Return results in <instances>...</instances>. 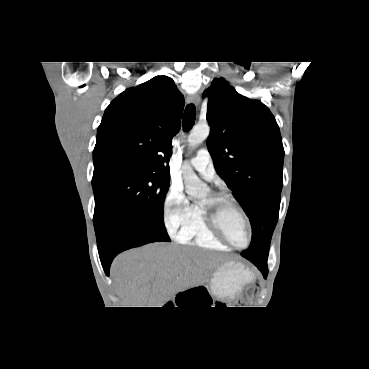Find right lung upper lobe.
I'll use <instances>...</instances> for the list:
<instances>
[{
  "label": "right lung upper lobe",
  "mask_w": 369,
  "mask_h": 369,
  "mask_svg": "<svg viewBox=\"0 0 369 369\" xmlns=\"http://www.w3.org/2000/svg\"><path fill=\"white\" fill-rule=\"evenodd\" d=\"M183 108L184 97L167 76L125 90L106 108L98 127L94 167L133 166L169 176L171 142Z\"/></svg>",
  "instance_id": "cb5924a9"
}]
</instances>
